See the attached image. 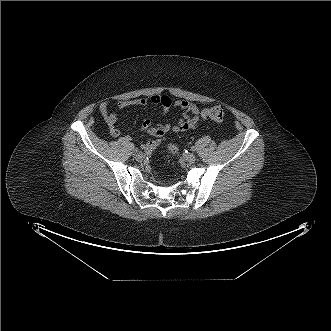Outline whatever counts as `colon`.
Masks as SVG:
<instances>
[{
    "label": "colon",
    "instance_id": "1",
    "mask_svg": "<svg viewBox=\"0 0 331 331\" xmlns=\"http://www.w3.org/2000/svg\"><path fill=\"white\" fill-rule=\"evenodd\" d=\"M202 116L215 122H223L226 119V112L221 106H210L202 110ZM171 151L175 152L176 148L172 146Z\"/></svg>",
    "mask_w": 331,
    "mask_h": 331
}]
</instances>
